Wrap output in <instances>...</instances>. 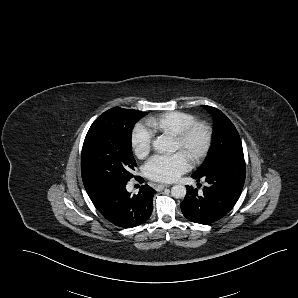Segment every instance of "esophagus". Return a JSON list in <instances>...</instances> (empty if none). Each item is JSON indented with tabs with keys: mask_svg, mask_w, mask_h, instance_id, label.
I'll list each match as a JSON object with an SVG mask.
<instances>
[{
	"mask_svg": "<svg viewBox=\"0 0 298 298\" xmlns=\"http://www.w3.org/2000/svg\"><path fill=\"white\" fill-rule=\"evenodd\" d=\"M169 187V185H166V184H157L156 185V189L157 190H163L165 188Z\"/></svg>",
	"mask_w": 298,
	"mask_h": 298,
	"instance_id": "34e87169",
	"label": "esophagus"
}]
</instances>
